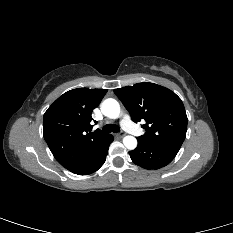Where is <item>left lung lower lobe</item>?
Segmentation results:
<instances>
[{"instance_id": "left-lung-lower-lobe-1", "label": "left lung lower lobe", "mask_w": 233, "mask_h": 233, "mask_svg": "<svg viewBox=\"0 0 233 233\" xmlns=\"http://www.w3.org/2000/svg\"><path fill=\"white\" fill-rule=\"evenodd\" d=\"M181 145L176 143H150L138 139L135 150L129 151L132 161L145 169H159L168 165L176 156Z\"/></svg>"}]
</instances>
